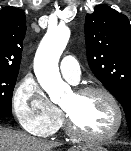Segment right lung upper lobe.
I'll use <instances>...</instances> for the list:
<instances>
[{"mask_svg": "<svg viewBox=\"0 0 131 151\" xmlns=\"http://www.w3.org/2000/svg\"><path fill=\"white\" fill-rule=\"evenodd\" d=\"M25 32L23 10L15 7L0 10V70L19 71Z\"/></svg>", "mask_w": 131, "mask_h": 151, "instance_id": "1", "label": "right lung upper lobe"}]
</instances>
